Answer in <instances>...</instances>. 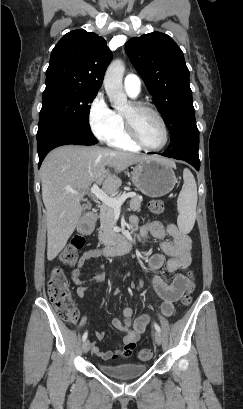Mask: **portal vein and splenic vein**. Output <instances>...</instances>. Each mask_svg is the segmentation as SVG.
<instances>
[{"mask_svg":"<svg viewBox=\"0 0 243 409\" xmlns=\"http://www.w3.org/2000/svg\"><path fill=\"white\" fill-rule=\"evenodd\" d=\"M69 192L74 195H79V193L74 190H69ZM90 192L94 194L103 204L112 207L116 211H120L122 204L127 198L135 196V193L130 192L123 194L119 198H113L101 190L97 184H93V186L90 188Z\"/></svg>","mask_w":243,"mask_h":409,"instance_id":"obj_1","label":"portal vein and splenic vein"}]
</instances>
